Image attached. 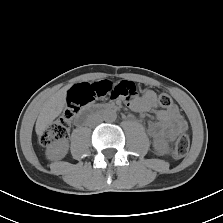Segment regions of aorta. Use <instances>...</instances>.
<instances>
[{"label": "aorta", "instance_id": "762f6f07", "mask_svg": "<svg viewBox=\"0 0 223 223\" xmlns=\"http://www.w3.org/2000/svg\"><path fill=\"white\" fill-rule=\"evenodd\" d=\"M102 118L104 121L111 123L116 120L117 114L114 110H106L104 111Z\"/></svg>", "mask_w": 223, "mask_h": 223}]
</instances>
